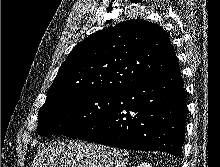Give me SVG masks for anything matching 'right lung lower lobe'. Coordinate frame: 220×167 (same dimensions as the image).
Listing matches in <instances>:
<instances>
[{
  "label": "right lung lower lobe",
  "instance_id": "obj_1",
  "mask_svg": "<svg viewBox=\"0 0 220 167\" xmlns=\"http://www.w3.org/2000/svg\"><path fill=\"white\" fill-rule=\"evenodd\" d=\"M187 117L180 68L117 93L104 117L78 139L180 156Z\"/></svg>",
  "mask_w": 220,
  "mask_h": 167
}]
</instances>
